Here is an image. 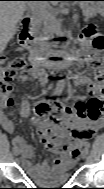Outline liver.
I'll return each mask as SVG.
<instances>
[{"label":"liver","mask_w":104,"mask_h":189,"mask_svg":"<svg viewBox=\"0 0 104 189\" xmlns=\"http://www.w3.org/2000/svg\"><path fill=\"white\" fill-rule=\"evenodd\" d=\"M29 3L25 1H1L0 4V49L4 50L17 30V24L22 18Z\"/></svg>","instance_id":"obj_1"}]
</instances>
